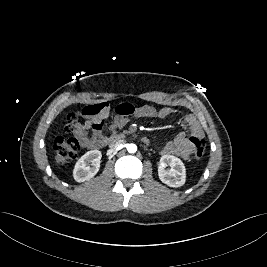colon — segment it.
<instances>
[{
  "label": "colon",
  "instance_id": "obj_1",
  "mask_svg": "<svg viewBox=\"0 0 267 267\" xmlns=\"http://www.w3.org/2000/svg\"><path fill=\"white\" fill-rule=\"evenodd\" d=\"M85 110L83 109L80 113L75 112L67 116L66 129L73 131L74 126L77 123V119L80 115H84ZM192 144L194 147V156L196 159H202L205 153V141L199 138H193ZM80 151V143L76 138H65L58 136L54 140V158L55 162L59 165H64L74 160Z\"/></svg>",
  "mask_w": 267,
  "mask_h": 267
}]
</instances>
